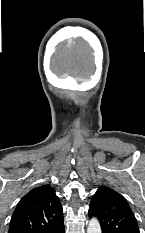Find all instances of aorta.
Here are the masks:
<instances>
[{
  "label": "aorta",
  "instance_id": "762f6f07",
  "mask_svg": "<svg viewBox=\"0 0 145 233\" xmlns=\"http://www.w3.org/2000/svg\"><path fill=\"white\" fill-rule=\"evenodd\" d=\"M87 233H101V227L96 218L90 219L87 227Z\"/></svg>",
  "mask_w": 145,
  "mask_h": 233
}]
</instances>
